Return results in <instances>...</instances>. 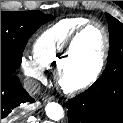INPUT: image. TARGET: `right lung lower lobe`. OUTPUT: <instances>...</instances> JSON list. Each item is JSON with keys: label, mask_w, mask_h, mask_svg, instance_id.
Returning <instances> with one entry per match:
<instances>
[{"label": "right lung lower lobe", "mask_w": 123, "mask_h": 123, "mask_svg": "<svg viewBox=\"0 0 123 123\" xmlns=\"http://www.w3.org/2000/svg\"><path fill=\"white\" fill-rule=\"evenodd\" d=\"M25 102H34L15 74L1 73V120Z\"/></svg>", "instance_id": "obj_1"}]
</instances>
